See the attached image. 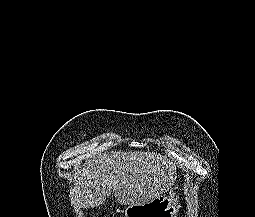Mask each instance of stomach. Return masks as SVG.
<instances>
[{"instance_id": "stomach-1", "label": "stomach", "mask_w": 255, "mask_h": 217, "mask_svg": "<svg viewBox=\"0 0 255 217\" xmlns=\"http://www.w3.org/2000/svg\"><path fill=\"white\" fill-rule=\"evenodd\" d=\"M174 193L162 194L148 203L128 205L125 217H176L180 205Z\"/></svg>"}]
</instances>
